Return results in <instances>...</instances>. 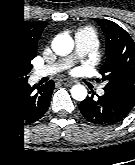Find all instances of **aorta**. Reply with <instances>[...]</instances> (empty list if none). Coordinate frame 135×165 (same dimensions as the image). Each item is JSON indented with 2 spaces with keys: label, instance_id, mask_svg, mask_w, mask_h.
I'll list each match as a JSON object with an SVG mask.
<instances>
[{
  "label": "aorta",
  "instance_id": "762f6f07",
  "mask_svg": "<svg viewBox=\"0 0 135 165\" xmlns=\"http://www.w3.org/2000/svg\"><path fill=\"white\" fill-rule=\"evenodd\" d=\"M53 49L58 55L68 54L73 49V41L69 36H61L55 41ZM71 95L73 99L83 101L87 97V89L81 84H76L71 88Z\"/></svg>",
  "mask_w": 135,
  "mask_h": 165
}]
</instances>
